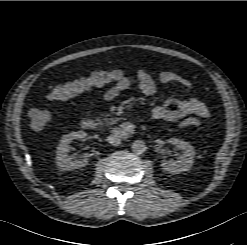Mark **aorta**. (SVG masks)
<instances>
[{"mask_svg":"<svg viewBox=\"0 0 247 245\" xmlns=\"http://www.w3.org/2000/svg\"><path fill=\"white\" fill-rule=\"evenodd\" d=\"M132 151L136 154H142L146 151V144L142 140H136L132 144Z\"/></svg>","mask_w":247,"mask_h":245,"instance_id":"aorta-1","label":"aorta"}]
</instances>
